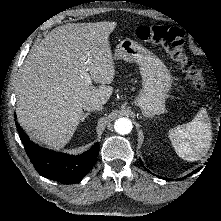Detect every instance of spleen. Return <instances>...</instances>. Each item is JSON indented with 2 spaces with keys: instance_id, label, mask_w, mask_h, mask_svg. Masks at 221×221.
Listing matches in <instances>:
<instances>
[{
  "instance_id": "spleen-1",
  "label": "spleen",
  "mask_w": 221,
  "mask_h": 221,
  "mask_svg": "<svg viewBox=\"0 0 221 221\" xmlns=\"http://www.w3.org/2000/svg\"><path fill=\"white\" fill-rule=\"evenodd\" d=\"M169 138L177 154L187 161L204 157L212 140L211 123L205 108L193 120L169 131Z\"/></svg>"
}]
</instances>
